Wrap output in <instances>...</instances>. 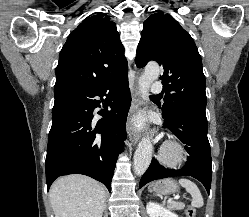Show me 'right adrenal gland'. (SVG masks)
Here are the masks:
<instances>
[{
    "label": "right adrenal gland",
    "mask_w": 249,
    "mask_h": 217,
    "mask_svg": "<svg viewBox=\"0 0 249 217\" xmlns=\"http://www.w3.org/2000/svg\"><path fill=\"white\" fill-rule=\"evenodd\" d=\"M106 207H107V206H106V204H105V206H104V210L106 209Z\"/></svg>",
    "instance_id": "1"
}]
</instances>
